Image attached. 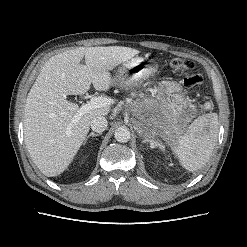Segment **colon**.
Listing matches in <instances>:
<instances>
[{
  "instance_id": "colon-1",
  "label": "colon",
  "mask_w": 247,
  "mask_h": 247,
  "mask_svg": "<svg viewBox=\"0 0 247 247\" xmlns=\"http://www.w3.org/2000/svg\"><path fill=\"white\" fill-rule=\"evenodd\" d=\"M169 66L173 73L183 77V84L186 87H194L201 83L202 77L195 71V64L191 60L183 58H172Z\"/></svg>"
}]
</instances>
